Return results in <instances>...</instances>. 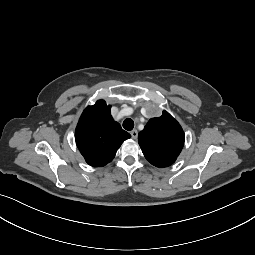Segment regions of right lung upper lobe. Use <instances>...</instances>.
I'll return each mask as SVG.
<instances>
[{"instance_id": "obj_1", "label": "right lung upper lobe", "mask_w": 255, "mask_h": 255, "mask_svg": "<svg viewBox=\"0 0 255 255\" xmlns=\"http://www.w3.org/2000/svg\"><path fill=\"white\" fill-rule=\"evenodd\" d=\"M110 109L104 100H98L84 110L75 130L79 151L94 167L112 161L121 144L131 137L113 120Z\"/></svg>"}]
</instances>
